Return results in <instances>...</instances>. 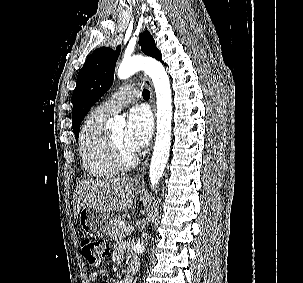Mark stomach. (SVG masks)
<instances>
[{
	"instance_id": "0dacf381",
	"label": "stomach",
	"mask_w": 303,
	"mask_h": 283,
	"mask_svg": "<svg viewBox=\"0 0 303 283\" xmlns=\"http://www.w3.org/2000/svg\"><path fill=\"white\" fill-rule=\"evenodd\" d=\"M139 192L140 190L137 187H133V194H138ZM78 215L80 226L85 235L94 238H104L110 233L114 219L111 212L84 207L79 211Z\"/></svg>"
}]
</instances>
